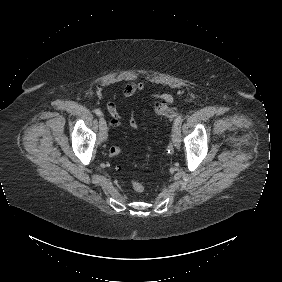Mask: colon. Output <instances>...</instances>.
<instances>
[{
  "mask_svg": "<svg viewBox=\"0 0 282 282\" xmlns=\"http://www.w3.org/2000/svg\"><path fill=\"white\" fill-rule=\"evenodd\" d=\"M155 111L158 114H163L166 118H173L178 115L176 108L173 105H166L163 103H158L155 106ZM121 154V149L119 147L113 146L109 149V155L111 157H118ZM133 190L137 193H143L145 190L144 184L139 180L132 181Z\"/></svg>",
  "mask_w": 282,
  "mask_h": 282,
  "instance_id": "1",
  "label": "colon"
}]
</instances>
